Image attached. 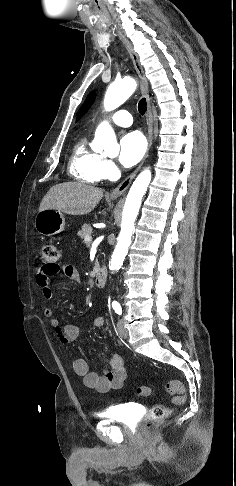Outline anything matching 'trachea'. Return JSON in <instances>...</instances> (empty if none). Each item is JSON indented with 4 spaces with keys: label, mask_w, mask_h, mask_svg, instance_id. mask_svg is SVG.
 <instances>
[{
    "label": "trachea",
    "mask_w": 236,
    "mask_h": 486,
    "mask_svg": "<svg viewBox=\"0 0 236 486\" xmlns=\"http://www.w3.org/2000/svg\"><path fill=\"white\" fill-rule=\"evenodd\" d=\"M147 110L146 99L142 98L138 103V111L141 115H144Z\"/></svg>",
    "instance_id": "1"
}]
</instances>
